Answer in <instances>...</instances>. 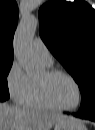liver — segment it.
Masks as SVG:
<instances>
[{"instance_id": "1", "label": "liver", "mask_w": 95, "mask_h": 130, "mask_svg": "<svg viewBox=\"0 0 95 130\" xmlns=\"http://www.w3.org/2000/svg\"><path fill=\"white\" fill-rule=\"evenodd\" d=\"M68 117L56 112L0 104V130H50L56 123Z\"/></svg>"}]
</instances>
